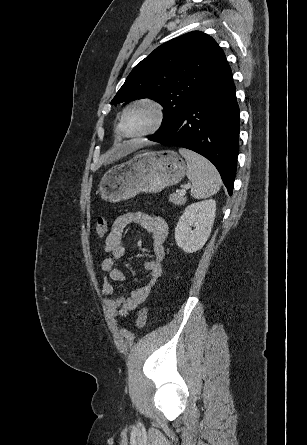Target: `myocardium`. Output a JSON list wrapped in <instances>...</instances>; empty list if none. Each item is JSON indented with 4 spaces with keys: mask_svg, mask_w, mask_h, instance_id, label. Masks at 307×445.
I'll return each mask as SVG.
<instances>
[{
    "mask_svg": "<svg viewBox=\"0 0 307 445\" xmlns=\"http://www.w3.org/2000/svg\"><path fill=\"white\" fill-rule=\"evenodd\" d=\"M140 104L150 105L151 107L154 108V110L156 112V121H155L154 125L147 130H144V131H141L138 133H134V134H129L126 132V129H125L126 114L131 107H133L135 105H140ZM166 120H167V111L161 102H159L158 100H156L154 98H148V97L139 98V99L132 101L124 108V110L122 112L121 119H120V132L123 136H125L127 138L144 137V136L151 135V134H154V133L160 131L164 127Z\"/></svg>",
    "mask_w": 307,
    "mask_h": 445,
    "instance_id": "1",
    "label": "myocardium"
}]
</instances>
